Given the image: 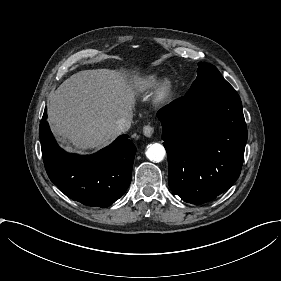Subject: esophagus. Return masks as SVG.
Segmentation results:
<instances>
[{
  "mask_svg": "<svg viewBox=\"0 0 281 281\" xmlns=\"http://www.w3.org/2000/svg\"><path fill=\"white\" fill-rule=\"evenodd\" d=\"M154 133V128L150 125H146L143 127V134L146 136V137H151Z\"/></svg>",
  "mask_w": 281,
  "mask_h": 281,
  "instance_id": "obj_1",
  "label": "esophagus"
}]
</instances>
